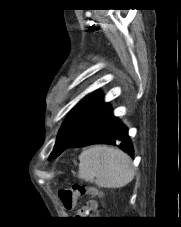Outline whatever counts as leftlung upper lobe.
Instances as JSON below:
<instances>
[{"label": "left lung upper lobe", "mask_w": 181, "mask_h": 227, "mask_svg": "<svg viewBox=\"0 0 181 227\" xmlns=\"http://www.w3.org/2000/svg\"><path fill=\"white\" fill-rule=\"evenodd\" d=\"M102 104V95L99 92H94L86 96L71 110L59 131L50 160L57 157L81 133L91 116Z\"/></svg>", "instance_id": "5c2ea615"}]
</instances>
